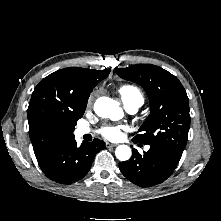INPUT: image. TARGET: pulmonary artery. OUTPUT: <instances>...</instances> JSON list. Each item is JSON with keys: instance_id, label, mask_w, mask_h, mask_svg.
<instances>
[{"instance_id": "pulmonary-artery-1", "label": "pulmonary artery", "mask_w": 221, "mask_h": 221, "mask_svg": "<svg viewBox=\"0 0 221 221\" xmlns=\"http://www.w3.org/2000/svg\"><path fill=\"white\" fill-rule=\"evenodd\" d=\"M140 106L141 105L137 104V103H129V104H125V109L129 113H135ZM89 132H90V129L87 127H83V126L78 127L75 131L76 135L79 137L84 136V135L88 134ZM148 149H149V147L147 146L146 150H148Z\"/></svg>"}]
</instances>
